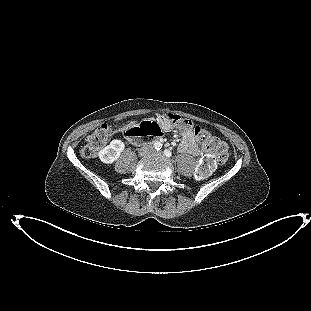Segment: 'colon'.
<instances>
[{
    "instance_id": "1",
    "label": "colon",
    "mask_w": 311,
    "mask_h": 311,
    "mask_svg": "<svg viewBox=\"0 0 311 311\" xmlns=\"http://www.w3.org/2000/svg\"><path fill=\"white\" fill-rule=\"evenodd\" d=\"M171 123L183 131H192L195 138L203 145L206 154L200 159L196 167V178L204 179L209 176L217 164H224L228 159V149L225 143L211 135L205 129L196 126L191 120L183 119L180 116L168 114ZM113 128L109 124H102L91 132L85 144L81 147L80 153L84 158H93L99 150L108 142ZM131 134L160 136L161 131L156 125L152 127H139L130 130Z\"/></svg>"
}]
</instances>
